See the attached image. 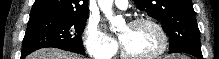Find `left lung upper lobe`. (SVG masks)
<instances>
[{
  "mask_svg": "<svg viewBox=\"0 0 219 59\" xmlns=\"http://www.w3.org/2000/svg\"><path fill=\"white\" fill-rule=\"evenodd\" d=\"M140 10L162 22L173 51L185 45L200 46V31L191 0H134Z\"/></svg>",
  "mask_w": 219,
  "mask_h": 59,
  "instance_id": "left-lung-upper-lobe-1",
  "label": "left lung upper lobe"
}]
</instances>
